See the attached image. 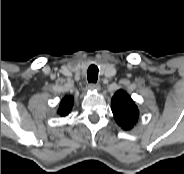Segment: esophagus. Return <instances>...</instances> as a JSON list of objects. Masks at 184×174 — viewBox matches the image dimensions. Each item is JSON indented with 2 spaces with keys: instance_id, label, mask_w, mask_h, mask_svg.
<instances>
[{
  "instance_id": "1",
  "label": "esophagus",
  "mask_w": 184,
  "mask_h": 174,
  "mask_svg": "<svg viewBox=\"0 0 184 174\" xmlns=\"http://www.w3.org/2000/svg\"><path fill=\"white\" fill-rule=\"evenodd\" d=\"M88 88L90 89V90H99L100 89V85L99 84H97V83H90L89 85H88Z\"/></svg>"
}]
</instances>
